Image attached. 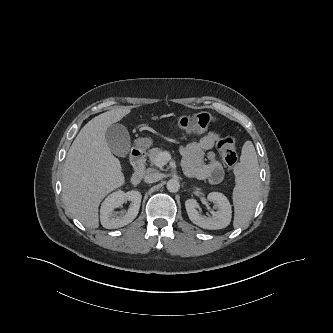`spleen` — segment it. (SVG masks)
Returning <instances> with one entry per match:
<instances>
[{
  "instance_id": "3e777b00",
  "label": "spleen",
  "mask_w": 333,
  "mask_h": 333,
  "mask_svg": "<svg viewBox=\"0 0 333 333\" xmlns=\"http://www.w3.org/2000/svg\"><path fill=\"white\" fill-rule=\"evenodd\" d=\"M236 186L233 190L235 228L243 227L254 214L259 200V164L254 145L246 141L240 162L234 167Z\"/></svg>"
}]
</instances>
